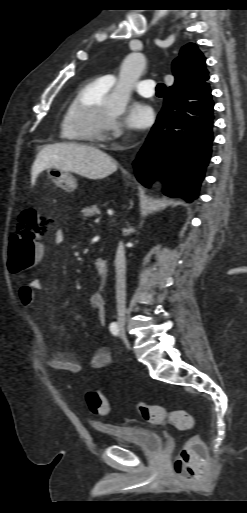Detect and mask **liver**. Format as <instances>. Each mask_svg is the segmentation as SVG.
Segmentation results:
<instances>
[{
  "mask_svg": "<svg viewBox=\"0 0 247 513\" xmlns=\"http://www.w3.org/2000/svg\"><path fill=\"white\" fill-rule=\"evenodd\" d=\"M51 167L99 180L115 172L117 164L106 153L92 146L75 143L51 144L42 148L36 156L31 172L32 185L41 171Z\"/></svg>",
  "mask_w": 247,
  "mask_h": 513,
  "instance_id": "liver-1",
  "label": "liver"
}]
</instances>
